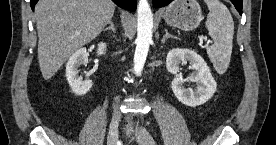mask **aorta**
I'll return each instance as SVG.
<instances>
[{
	"instance_id": "aorta-1",
	"label": "aorta",
	"mask_w": 276,
	"mask_h": 145,
	"mask_svg": "<svg viewBox=\"0 0 276 145\" xmlns=\"http://www.w3.org/2000/svg\"><path fill=\"white\" fill-rule=\"evenodd\" d=\"M153 14L148 0H139L137 6V38L134 53V73L139 76L144 68L152 42Z\"/></svg>"
}]
</instances>
